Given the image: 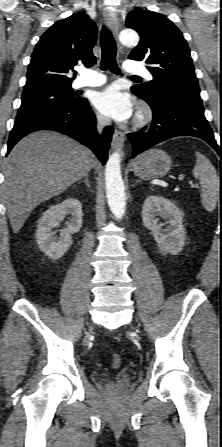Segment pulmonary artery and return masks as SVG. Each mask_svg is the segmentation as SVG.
Masks as SVG:
<instances>
[{
    "label": "pulmonary artery",
    "instance_id": "obj_1",
    "mask_svg": "<svg viewBox=\"0 0 222 447\" xmlns=\"http://www.w3.org/2000/svg\"><path fill=\"white\" fill-rule=\"evenodd\" d=\"M124 68L125 72L129 75H143L149 79L152 78L146 66L141 62L128 60ZM80 73L81 75L75 79L72 84L73 88L75 89L84 87H98L106 82L105 76L95 70L81 68Z\"/></svg>",
    "mask_w": 222,
    "mask_h": 447
}]
</instances>
